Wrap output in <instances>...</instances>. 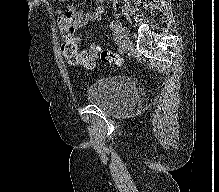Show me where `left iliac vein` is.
Wrapping results in <instances>:
<instances>
[{
    "instance_id": "1",
    "label": "left iliac vein",
    "mask_w": 219,
    "mask_h": 192,
    "mask_svg": "<svg viewBox=\"0 0 219 192\" xmlns=\"http://www.w3.org/2000/svg\"><path fill=\"white\" fill-rule=\"evenodd\" d=\"M117 34L119 36V41L123 50H128L132 47V43L125 31L121 26L117 27Z\"/></svg>"
}]
</instances>
